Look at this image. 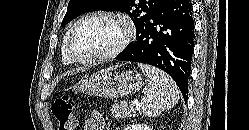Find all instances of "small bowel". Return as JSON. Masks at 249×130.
I'll return each instance as SVG.
<instances>
[{"label":"small bowel","mask_w":249,"mask_h":130,"mask_svg":"<svg viewBox=\"0 0 249 130\" xmlns=\"http://www.w3.org/2000/svg\"><path fill=\"white\" fill-rule=\"evenodd\" d=\"M84 130H104L105 119L98 110H93L90 116L85 120Z\"/></svg>","instance_id":"c3829d8e"}]
</instances>
